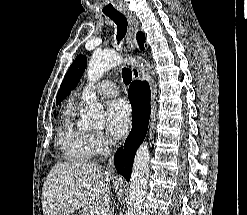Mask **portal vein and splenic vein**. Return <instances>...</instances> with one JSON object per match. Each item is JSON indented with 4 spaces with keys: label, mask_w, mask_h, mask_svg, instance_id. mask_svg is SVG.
I'll use <instances>...</instances> for the list:
<instances>
[{
    "label": "portal vein and splenic vein",
    "mask_w": 247,
    "mask_h": 215,
    "mask_svg": "<svg viewBox=\"0 0 247 215\" xmlns=\"http://www.w3.org/2000/svg\"><path fill=\"white\" fill-rule=\"evenodd\" d=\"M96 215H110L108 208H100L96 211Z\"/></svg>",
    "instance_id": "portal-vein-and-splenic-vein-1"
}]
</instances>
